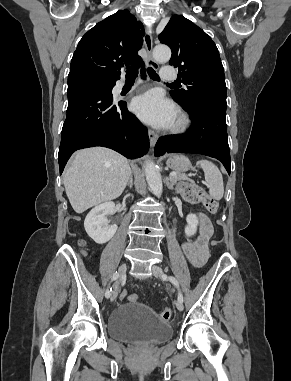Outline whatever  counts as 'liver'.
<instances>
[{
  "label": "liver",
  "mask_w": 291,
  "mask_h": 381,
  "mask_svg": "<svg viewBox=\"0 0 291 381\" xmlns=\"http://www.w3.org/2000/svg\"><path fill=\"white\" fill-rule=\"evenodd\" d=\"M131 174L128 160L104 147L74 153L63 178L70 204L78 214L103 202L118 198Z\"/></svg>",
  "instance_id": "6515ba94"
}]
</instances>
